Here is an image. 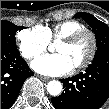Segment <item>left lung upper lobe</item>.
I'll return each mask as SVG.
<instances>
[{
  "label": "left lung upper lobe",
  "mask_w": 109,
  "mask_h": 109,
  "mask_svg": "<svg viewBox=\"0 0 109 109\" xmlns=\"http://www.w3.org/2000/svg\"><path fill=\"white\" fill-rule=\"evenodd\" d=\"M74 17L83 18L92 27L96 35V46H97L96 55L103 52H109V27L105 23L96 19L93 15L85 12H79ZM78 95H79V88L71 90L68 94L70 98H76Z\"/></svg>",
  "instance_id": "1"
}]
</instances>
